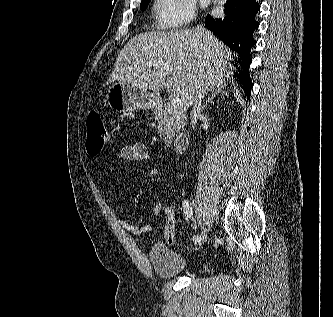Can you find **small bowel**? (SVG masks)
I'll return each mask as SVG.
<instances>
[{
	"mask_svg": "<svg viewBox=\"0 0 333 317\" xmlns=\"http://www.w3.org/2000/svg\"><path fill=\"white\" fill-rule=\"evenodd\" d=\"M119 163L121 166L126 163H143L149 162L151 160L150 153L148 151L147 146L142 142H133L128 145H124L119 150ZM104 185H107L106 180H104ZM163 208V202L158 201L156 206L153 208L152 217L156 218L160 215L161 210ZM121 227L135 235H142L152 231L155 227L154 223H148L145 225H135L127 220H121Z\"/></svg>",
	"mask_w": 333,
	"mask_h": 317,
	"instance_id": "1",
	"label": "small bowel"
}]
</instances>
